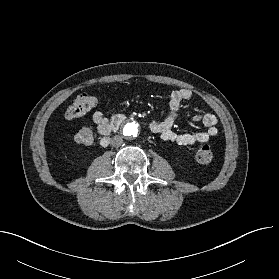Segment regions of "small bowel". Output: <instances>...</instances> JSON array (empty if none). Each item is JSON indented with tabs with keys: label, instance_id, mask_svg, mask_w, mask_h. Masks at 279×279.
I'll return each mask as SVG.
<instances>
[{
	"label": "small bowel",
	"instance_id": "c3829d8e",
	"mask_svg": "<svg viewBox=\"0 0 279 279\" xmlns=\"http://www.w3.org/2000/svg\"><path fill=\"white\" fill-rule=\"evenodd\" d=\"M193 96V92L189 89H178L170 94L169 114L163 120H156L150 123V130L160 135L164 141L174 142L181 146L206 143L212 137L216 136L218 130L216 128L217 118L210 112L196 115L193 118L195 123H201L205 129L195 133H176L173 131L174 124L181 117V104L185 100H189ZM93 121L97 125L100 134L107 135L110 131L112 121L100 111L93 114Z\"/></svg>",
	"mask_w": 279,
	"mask_h": 279
}]
</instances>
